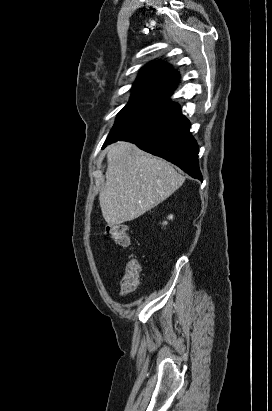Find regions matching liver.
<instances>
[{
	"label": "liver",
	"mask_w": 272,
	"mask_h": 411,
	"mask_svg": "<svg viewBox=\"0 0 272 411\" xmlns=\"http://www.w3.org/2000/svg\"><path fill=\"white\" fill-rule=\"evenodd\" d=\"M107 163L99 202L110 226L138 218L168 198L185 180L169 162L128 142L111 145Z\"/></svg>",
	"instance_id": "obj_1"
}]
</instances>
